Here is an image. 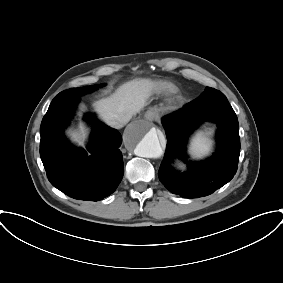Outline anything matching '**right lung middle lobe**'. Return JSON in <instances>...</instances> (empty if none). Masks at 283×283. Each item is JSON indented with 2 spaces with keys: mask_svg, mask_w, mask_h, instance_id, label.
I'll use <instances>...</instances> for the list:
<instances>
[{
  "mask_svg": "<svg viewBox=\"0 0 283 283\" xmlns=\"http://www.w3.org/2000/svg\"><path fill=\"white\" fill-rule=\"evenodd\" d=\"M99 87V85H95V86H88V87H82V88H71L65 91H62L61 93H59L58 95L61 94H66V93H73V94H78V95H84L86 93L92 92L95 89H97ZM57 95V96H58Z\"/></svg>",
  "mask_w": 283,
  "mask_h": 283,
  "instance_id": "right-lung-middle-lobe-1",
  "label": "right lung middle lobe"
}]
</instances>
